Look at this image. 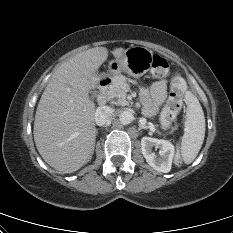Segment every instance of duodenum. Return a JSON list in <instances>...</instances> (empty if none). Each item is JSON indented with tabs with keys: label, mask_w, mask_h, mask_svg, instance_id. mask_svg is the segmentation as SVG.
I'll list each match as a JSON object with an SVG mask.
<instances>
[{
	"label": "duodenum",
	"mask_w": 233,
	"mask_h": 233,
	"mask_svg": "<svg viewBox=\"0 0 233 233\" xmlns=\"http://www.w3.org/2000/svg\"><path fill=\"white\" fill-rule=\"evenodd\" d=\"M112 83L111 78L103 77L99 81V95L97 98L98 104L103 106L107 103L108 100V89Z\"/></svg>",
	"instance_id": "duodenum-1"
}]
</instances>
